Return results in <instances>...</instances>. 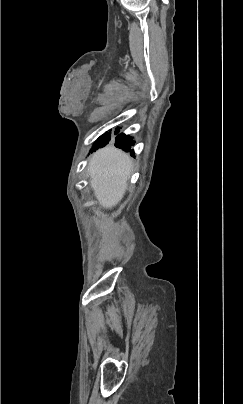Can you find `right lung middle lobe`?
<instances>
[{
	"instance_id": "dd1d6c3e",
	"label": "right lung middle lobe",
	"mask_w": 243,
	"mask_h": 404,
	"mask_svg": "<svg viewBox=\"0 0 243 404\" xmlns=\"http://www.w3.org/2000/svg\"><path fill=\"white\" fill-rule=\"evenodd\" d=\"M109 141H110V134L106 132L105 134L100 136L99 139L94 143L92 150L104 147L106 144H108Z\"/></svg>"
}]
</instances>
